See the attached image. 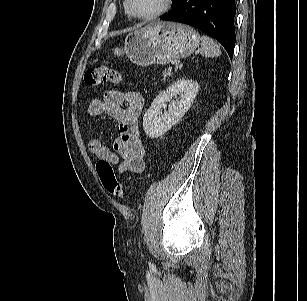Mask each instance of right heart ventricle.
Listing matches in <instances>:
<instances>
[{
    "instance_id": "1",
    "label": "right heart ventricle",
    "mask_w": 307,
    "mask_h": 301,
    "mask_svg": "<svg viewBox=\"0 0 307 301\" xmlns=\"http://www.w3.org/2000/svg\"><path fill=\"white\" fill-rule=\"evenodd\" d=\"M124 8H125V13H126L128 16H130V14H129L128 10H127V7H126V3L124 4Z\"/></svg>"
}]
</instances>
